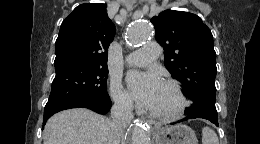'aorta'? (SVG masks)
Segmentation results:
<instances>
[{
	"label": "aorta",
	"mask_w": 260,
	"mask_h": 144,
	"mask_svg": "<svg viewBox=\"0 0 260 144\" xmlns=\"http://www.w3.org/2000/svg\"><path fill=\"white\" fill-rule=\"evenodd\" d=\"M150 36L151 26L147 22H135L128 30L127 41L130 45H137L148 41ZM131 144H151L146 126L140 121L134 124Z\"/></svg>",
	"instance_id": "obj_1"
}]
</instances>
